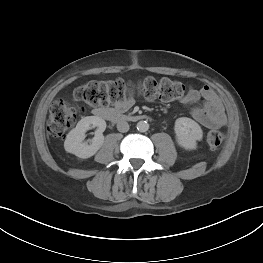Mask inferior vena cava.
Returning a JSON list of instances; mask_svg holds the SVG:
<instances>
[{"label":"inferior vena cava","instance_id":"602c4592","mask_svg":"<svg viewBox=\"0 0 263 263\" xmlns=\"http://www.w3.org/2000/svg\"><path fill=\"white\" fill-rule=\"evenodd\" d=\"M117 130L119 132H127L129 130V124L126 121H119L117 123Z\"/></svg>","mask_w":263,"mask_h":263}]
</instances>
